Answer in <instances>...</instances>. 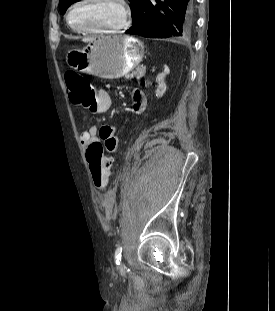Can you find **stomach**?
<instances>
[{"label": "stomach", "instance_id": "obj_1", "mask_svg": "<svg viewBox=\"0 0 275 311\" xmlns=\"http://www.w3.org/2000/svg\"><path fill=\"white\" fill-rule=\"evenodd\" d=\"M144 45L130 36H99L83 49H70L66 63L74 70L104 79L120 78L142 61Z\"/></svg>", "mask_w": 275, "mask_h": 311}]
</instances>
